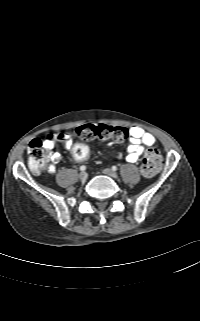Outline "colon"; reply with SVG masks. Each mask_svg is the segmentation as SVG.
<instances>
[{"instance_id": "obj_1", "label": "colon", "mask_w": 200, "mask_h": 321, "mask_svg": "<svg viewBox=\"0 0 200 321\" xmlns=\"http://www.w3.org/2000/svg\"><path fill=\"white\" fill-rule=\"evenodd\" d=\"M74 135L84 141L91 140H113L122 142L127 138V130L123 127H114L109 125H94L86 124L78 127ZM29 166L34 173H40L47 166L48 156L44 148L43 141L34 139L28 146ZM90 153V148L87 143L79 142L70 147V154L75 162H84ZM162 165V157L159 151L155 148H148L145 151L141 172L145 177H153L156 175Z\"/></svg>"}]
</instances>
